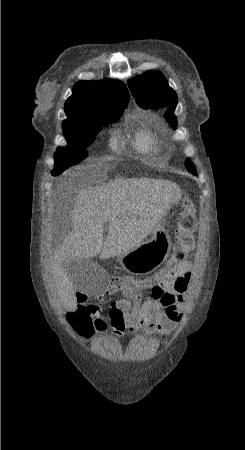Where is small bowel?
<instances>
[{
  "label": "small bowel",
  "mask_w": 245,
  "mask_h": 450,
  "mask_svg": "<svg viewBox=\"0 0 245 450\" xmlns=\"http://www.w3.org/2000/svg\"><path fill=\"white\" fill-rule=\"evenodd\" d=\"M191 268L190 261L168 266L139 289H125L122 298L110 302H107L112 293L110 291L94 296L95 302L108 303L111 338L117 339L126 331L144 328L147 336L155 334V338L165 340L173 326L183 318L182 306L186 301L184 294L192 279ZM76 307L74 301H67L64 305L67 316ZM95 331L100 336H105L106 324L97 320Z\"/></svg>",
  "instance_id": "obj_1"
}]
</instances>
